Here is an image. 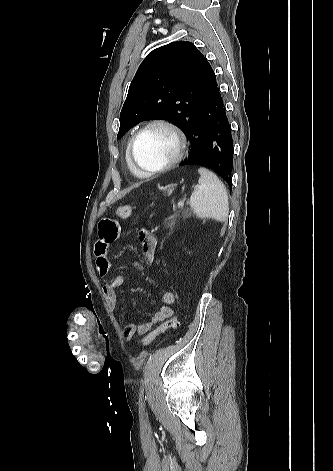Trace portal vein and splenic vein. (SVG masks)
I'll return each mask as SVG.
<instances>
[{
    "mask_svg": "<svg viewBox=\"0 0 333 471\" xmlns=\"http://www.w3.org/2000/svg\"><path fill=\"white\" fill-rule=\"evenodd\" d=\"M185 200H180L177 204L178 208H182L184 206Z\"/></svg>",
    "mask_w": 333,
    "mask_h": 471,
    "instance_id": "18ae733b",
    "label": "portal vein and splenic vein"
}]
</instances>
